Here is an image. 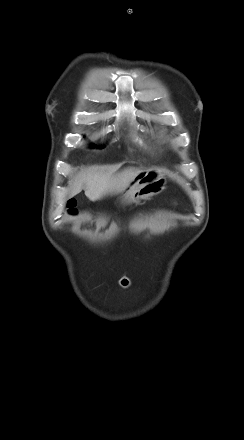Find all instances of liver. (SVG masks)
Segmentation results:
<instances>
[{
	"instance_id": "obj_1",
	"label": "liver",
	"mask_w": 244,
	"mask_h": 440,
	"mask_svg": "<svg viewBox=\"0 0 244 440\" xmlns=\"http://www.w3.org/2000/svg\"><path fill=\"white\" fill-rule=\"evenodd\" d=\"M140 171L137 168H127L121 172H117L116 167L100 171L92 168L79 173L72 185L70 196L79 194L83 189L87 198L96 201L106 195L121 193Z\"/></svg>"
}]
</instances>
